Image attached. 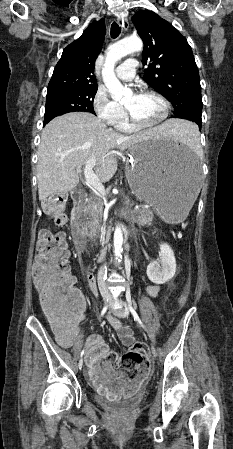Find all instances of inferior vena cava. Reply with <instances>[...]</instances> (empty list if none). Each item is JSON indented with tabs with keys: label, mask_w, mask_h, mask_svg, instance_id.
Returning a JSON list of instances; mask_svg holds the SVG:
<instances>
[{
	"label": "inferior vena cava",
	"mask_w": 233,
	"mask_h": 449,
	"mask_svg": "<svg viewBox=\"0 0 233 449\" xmlns=\"http://www.w3.org/2000/svg\"><path fill=\"white\" fill-rule=\"evenodd\" d=\"M105 275L104 269L101 267L98 271V279H101Z\"/></svg>",
	"instance_id": "inferior-vena-cava-1"
}]
</instances>
